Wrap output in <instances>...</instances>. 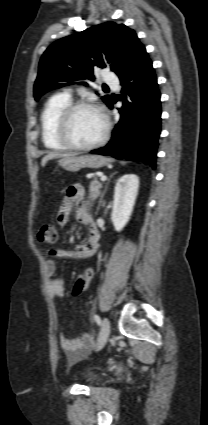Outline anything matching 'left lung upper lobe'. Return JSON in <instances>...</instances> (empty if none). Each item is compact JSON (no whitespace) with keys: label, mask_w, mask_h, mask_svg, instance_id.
I'll return each instance as SVG.
<instances>
[{"label":"left lung upper lobe","mask_w":208,"mask_h":425,"mask_svg":"<svg viewBox=\"0 0 208 425\" xmlns=\"http://www.w3.org/2000/svg\"><path fill=\"white\" fill-rule=\"evenodd\" d=\"M146 53L134 30L124 24L106 22L51 44L41 57L34 85L36 100L44 93L94 79V68L109 67L119 78L129 73ZM80 84L86 85L84 82ZM102 100L109 105L111 97Z\"/></svg>","instance_id":"5c2ea615"}]
</instances>
